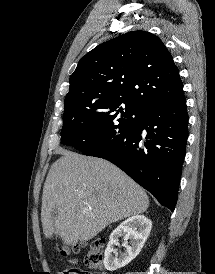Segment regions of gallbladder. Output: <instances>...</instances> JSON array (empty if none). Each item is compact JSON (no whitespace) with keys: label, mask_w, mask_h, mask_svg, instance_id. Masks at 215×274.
I'll return each instance as SVG.
<instances>
[{"label":"gallbladder","mask_w":215,"mask_h":274,"mask_svg":"<svg viewBox=\"0 0 215 274\" xmlns=\"http://www.w3.org/2000/svg\"><path fill=\"white\" fill-rule=\"evenodd\" d=\"M58 215V210L56 208H54L52 211H51V217L53 219H55Z\"/></svg>","instance_id":"gallbladder-1"}]
</instances>
